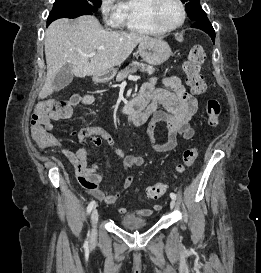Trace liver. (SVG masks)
<instances>
[{
  "mask_svg": "<svg viewBox=\"0 0 261 273\" xmlns=\"http://www.w3.org/2000/svg\"><path fill=\"white\" fill-rule=\"evenodd\" d=\"M148 39L151 38L136 32L106 31L91 15L52 22L45 33L47 75L38 98L45 99L56 90L54 79L65 64L72 65L76 77L105 75ZM92 52L96 55L89 58Z\"/></svg>",
  "mask_w": 261,
  "mask_h": 273,
  "instance_id": "obj_1",
  "label": "liver"
}]
</instances>
